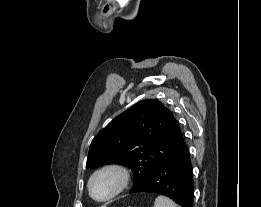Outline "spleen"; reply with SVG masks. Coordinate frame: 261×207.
<instances>
[{"label": "spleen", "instance_id": "spleen-1", "mask_svg": "<svg viewBox=\"0 0 261 207\" xmlns=\"http://www.w3.org/2000/svg\"><path fill=\"white\" fill-rule=\"evenodd\" d=\"M154 207H178L172 200L165 196H158L155 199Z\"/></svg>", "mask_w": 261, "mask_h": 207}]
</instances>
